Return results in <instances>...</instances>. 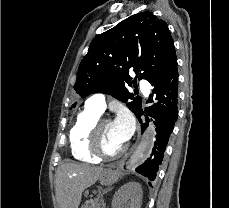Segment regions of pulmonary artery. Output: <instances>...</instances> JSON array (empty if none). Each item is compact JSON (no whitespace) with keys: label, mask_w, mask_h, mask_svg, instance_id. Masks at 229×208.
<instances>
[{"label":"pulmonary artery","mask_w":229,"mask_h":208,"mask_svg":"<svg viewBox=\"0 0 229 208\" xmlns=\"http://www.w3.org/2000/svg\"><path fill=\"white\" fill-rule=\"evenodd\" d=\"M138 82L141 83L142 90L147 95L150 90V85L144 83V78H139ZM85 107L101 115L106 108L105 95L103 93H96L90 96L85 102Z\"/></svg>","instance_id":"obj_1"}]
</instances>
